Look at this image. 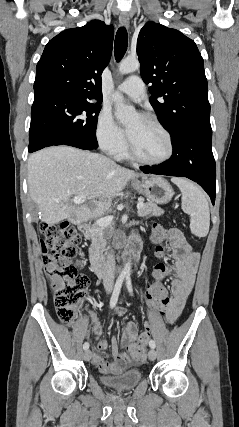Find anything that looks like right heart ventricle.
<instances>
[{
  "label": "right heart ventricle",
  "mask_w": 239,
  "mask_h": 427,
  "mask_svg": "<svg viewBox=\"0 0 239 427\" xmlns=\"http://www.w3.org/2000/svg\"><path fill=\"white\" fill-rule=\"evenodd\" d=\"M116 157L123 159V158H127V157H128V154H127L126 150L124 149V150H123L119 155H117Z\"/></svg>",
  "instance_id": "1"
}]
</instances>
